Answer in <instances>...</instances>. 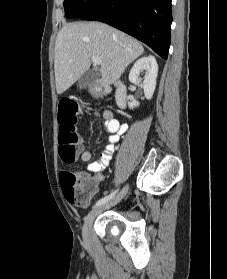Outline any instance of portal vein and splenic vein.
Instances as JSON below:
<instances>
[{
	"label": "portal vein and splenic vein",
	"instance_id": "portal-vein-and-splenic-vein-1",
	"mask_svg": "<svg viewBox=\"0 0 227 279\" xmlns=\"http://www.w3.org/2000/svg\"><path fill=\"white\" fill-rule=\"evenodd\" d=\"M92 62L94 63V65H100L101 64V59L99 57H95L93 56L91 58Z\"/></svg>",
	"mask_w": 227,
	"mask_h": 279
}]
</instances>
